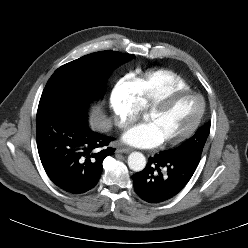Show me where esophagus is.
Here are the masks:
<instances>
[{"label": "esophagus", "mask_w": 248, "mask_h": 248, "mask_svg": "<svg viewBox=\"0 0 248 248\" xmlns=\"http://www.w3.org/2000/svg\"><path fill=\"white\" fill-rule=\"evenodd\" d=\"M130 149L126 147H119L116 149V153H129Z\"/></svg>", "instance_id": "34e87169"}]
</instances>
